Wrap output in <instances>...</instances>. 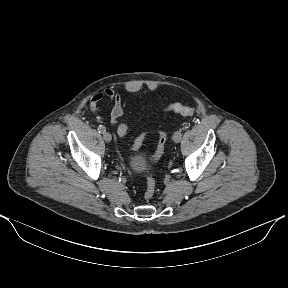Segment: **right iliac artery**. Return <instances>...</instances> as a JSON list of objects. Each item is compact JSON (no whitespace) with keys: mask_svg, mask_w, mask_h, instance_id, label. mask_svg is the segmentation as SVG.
<instances>
[{"mask_svg":"<svg viewBox=\"0 0 288 288\" xmlns=\"http://www.w3.org/2000/svg\"><path fill=\"white\" fill-rule=\"evenodd\" d=\"M98 131H99V133H105V132H106V128H105V126H103V125H99V127H98Z\"/></svg>","mask_w":288,"mask_h":288,"instance_id":"right-iliac-artery-1","label":"right iliac artery"}]
</instances>
